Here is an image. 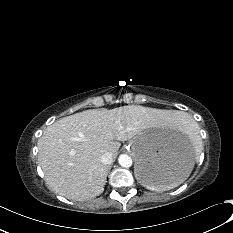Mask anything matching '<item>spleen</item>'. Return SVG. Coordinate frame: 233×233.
<instances>
[{
	"instance_id": "1",
	"label": "spleen",
	"mask_w": 233,
	"mask_h": 233,
	"mask_svg": "<svg viewBox=\"0 0 233 233\" xmlns=\"http://www.w3.org/2000/svg\"><path fill=\"white\" fill-rule=\"evenodd\" d=\"M173 125L177 130L182 131L187 135L192 133L194 135V142L195 143H197L199 141V139L196 137V132L198 131V125L189 116L180 117V119H178ZM188 176L185 177L183 180H181L177 183H174L172 186H169V187L157 186L156 188H152V190L172 189L174 187H177L181 183H183L188 178Z\"/></svg>"
}]
</instances>
